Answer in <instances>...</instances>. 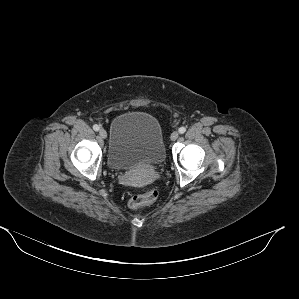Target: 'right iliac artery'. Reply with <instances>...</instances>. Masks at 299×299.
I'll return each mask as SVG.
<instances>
[{
    "instance_id": "obj_1",
    "label": "right iliac artery",
    "mask_w": 299,
    "mask_h": 299,
    "mask_svg": "<svg viewBox=\"0 0 299 299\" xmlns=\"http://www.w3.org/2000/svg\"><path fill=\"white\" fill-rule=\"evenodd\" d=\"M93 129H94L95 131H98V130L100 129V127H99V125L95 124V125L93 126Z\"/></svg>"
}]
</instances>
